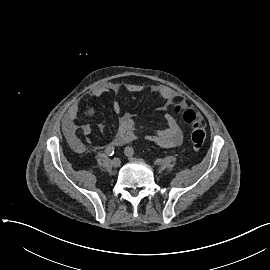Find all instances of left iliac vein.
Segmentation results:
<instances>
[{
    "label": "left iliac vein",
    "mask_w": 270,
    "mask_h": 270,
    "mask_svg": "<svg viewBox=\"0 0 270 270\" xmlns=\"http://www.w3.org/2000/svg\"><path fill=\"white\" fill-rule=\"evenodd\" d=\"M125 154L128 157V159L131 160V161H137V160H139V159L135 158L133 155H130L128 153H125Z\"/></svg>",
    "instance_id": "obj_1"
}]
</instances>
